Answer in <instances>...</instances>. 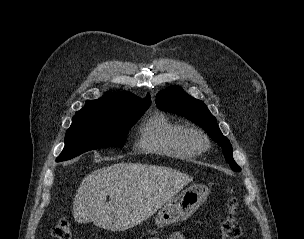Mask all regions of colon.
I'll return each instance as SVG.
<instances>
[{"instance_id":"5ec220e1","label":"colon","mask_w":304,"mask_h":239,"mask_svg":"<svg viewBox=\"0 0 304 239\" xmlns=\"http://www.w3.org/2000/svg\"><path fill=\"white\" fill-rule=\"evenodd\" d=\"M227 208L228 214L220 224L221 237L222 239H237L242 232L238 199L230 196L227 200ZM51 235L54 239H72L70 223L66 219L57 221L51 228Z\"/></svg>"}]
</instances>
